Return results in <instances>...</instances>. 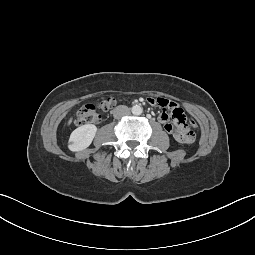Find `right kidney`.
<instances>
[{"instance_id": "obj_1", "label": "right kidney", "mask_w": 255, "mask_h": 255, "mask_svg": "<svg viewBox=\"0 0 255 255\" xmlns=\"http://www.w3.org/2000/svg\"><path fill=\"white\" fill-rule=\"evenodd\" d=\"M97 132L93 124H85L76 128L70 135L68 148L71 151H81L89 147Z\"/></svg>"}]
</instances>
